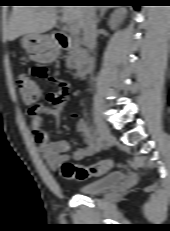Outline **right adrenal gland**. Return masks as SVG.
<instances>
[{
	"label": "right adrenal gland",
	"instance_id": "right-adrenal-gland-1",
	"mask_svg": "<svg viewBox=\"0 0 170 231\" xmlns=\"http://www.w3.org/2000/svg\"><path fill=\"white\" fill-rule=\"evenodd\" d=\"M99 11H100V14H99V16H98L97 19H96V23H97V24L100 22V19L103 18L105 12L107 11V7H105V6H100V7H99Z\"/></svg>",
	"mask_w": 170,
	"mask_h": 231
}]
</instances>
